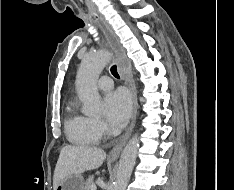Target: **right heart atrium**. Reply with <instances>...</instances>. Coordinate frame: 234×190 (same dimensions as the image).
Returning <instances> with one entry per match:
<instances>
[{"mask_svg":"<svg viewBox=\"0 0 234 190\" xmlns=\"http://www.w3.org/2000/svg\"><path fill=\"white\" fill-rule=\"evenodd\" d=\"M93 124L99 135H104L108 131L107 125L100 119H93Z\"/></svg>","mask_w":234,"mask_h":190,"instance_id":"1","label":"right heart atrium"}]
</instances>
